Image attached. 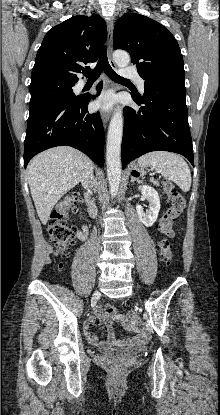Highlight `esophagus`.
Listing matches in <instances>:
<instances>
[{
  "mask_svg": "<svg viewBox=\"0 0 220 415\" xmlns=\"http://www.w3.org/2000/svg\"><path fill=\"white\" fill-rule=\"evenodd\" d=\"M113 28L114 23L113 20L110 19L108 22V32H107V53L109 62L112 66H115L113 60H112V40H113ZM101 118L104 124H107L110 118V113L107 111L102 112Z\"/></svg>",
  "mask_w": 220,
  "mask_h": 415,
  "instance_id": "esophagus-1",
  "label": "esophagus"
}]
</instances>
